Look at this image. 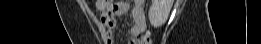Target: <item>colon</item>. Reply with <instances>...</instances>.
Masks as SVG:
<instances>
[{"label": "colon", "instance_id": "colon-1", "mask_svg": "<svg viewBox=\"0 0 261 44\" xmlns=\"http://www.w3.org/2000/svg\"><path fill=\"white\" fill-rule=\"evenodd\" d=\"M98 6H118L122 7V5H126V2L122 1H111V0H104V1H98ZM137 44H151V34L149 31L143 33L139 37L136 38Z\"/></svg>", "mask_w": 261, "mask_h": 44}]
</instances>
